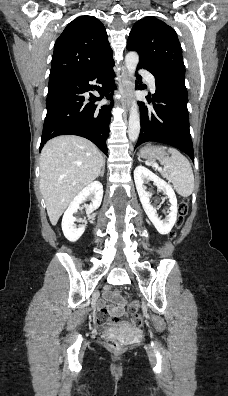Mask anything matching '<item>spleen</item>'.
I'll list each match as a JSON object with an SVG mask.
<instances>
[{"instance_id": "spleen-1", "label": "spleen", "mask_w": 228, "mask_h": 396, "mask_svg": "<svg viewBox=\"0 0 228 396\" xmlns=\"http://www.w3.org/2000/svg\"><path fill=\"white\" fill-rule=\"evenodd\" d=\"M171 157H165L161 160L164 168L161 175L171 182L176 192L183 196L189 197L194 190V175L191 164L185 156L178 150L169 148Z\"/></svg>"}]
</instances>
